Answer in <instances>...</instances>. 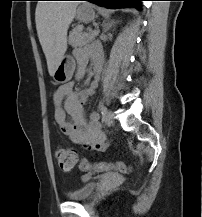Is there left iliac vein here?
Segmentation results:
<instances>
[{
    "label": "left iliac vein",
    "mask_w": 202,
    "mask_h": 217,
    "mask_svg": "<svg viewBox=\"0 0 202 217\" xmlns=\"http://www.w3.org/2000/svg\"><path fill=\"white\" fill-rule=\"evenodd\" d=\"M104 121L107 126H112L114 123L113 114L111 111H107L104 116Z\"/></svg>",
    "instance_id": "left-iliac-vein-1"
}]
</instances>
